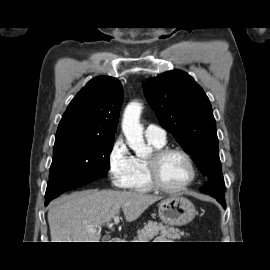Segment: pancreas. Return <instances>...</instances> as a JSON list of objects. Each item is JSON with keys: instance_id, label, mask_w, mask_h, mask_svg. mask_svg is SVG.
I'll use <instances>...</instances> for the list:
<instances>
[{"instance_id": "obj_1", "label": "pancreas", "mask_w": 270, "mask_h": 270, "mask_svg": "<svg viewBox=\"0 0 270 270\" xmlns=\"http://www.w3.org/2000/svg\"><path fill=\"white\" fill-rule=\"evenodd\" d=\"M157 235L168 239H180L181 236H184V232L162 223L149 221L144 225L143 229L138 231V235L133 242H149Z\"/></svg>"}]
</instances>
